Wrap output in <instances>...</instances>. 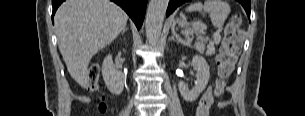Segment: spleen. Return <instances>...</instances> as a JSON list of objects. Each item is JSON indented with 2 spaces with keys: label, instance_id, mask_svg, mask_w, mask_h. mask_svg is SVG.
Returning <instances> with one entry per match:
<instances>
[{
  "label": "spleen",
  "instance_id": "1",
  "mask_svg": "<svg viewBox=\"0 0 305 116\" xmlns=\"http://www.w3.org/2000/svg\"><path fill=\"white\" fill-rule=\"evenodd\" d=\"M187 12H193L198 11L203 16L205 13L210 14V19L212 24L218 28L222 29L224 22L230 13V7L229 5L222 1V0H207L202 4L201 2H196L194 4L189 5L186 8ZM193 33L200 34V28L198 26V23H194L192 25V30L189 32L190 35H192V38L190 39L188 37V41L191 42L193 39Z\"/></svg>",
  "mask_w": 305,
  "mask_h": 116
}]
</instances>
